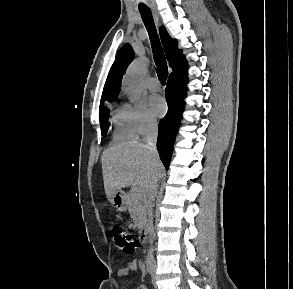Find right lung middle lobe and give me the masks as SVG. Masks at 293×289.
Masks as SVG:
<instances>
[{"instance_id": "obj_1", "label": "right lung middle lobe", "mask_w": 293, "mask_h": 289, "mask_svg": "<svg viewBox=\"0 0 293 289\" xmlns=\"http://www.w3.org/2000/svg\"><path fill=\"white\" fill-rule=\"evenodd\" d=\"M103 103L104 101H101L99 113H100L101 135L105 136L108 130V128H106V125L109 119V111L108 110L102 111Z\"/></svg>"}]
</instances>
